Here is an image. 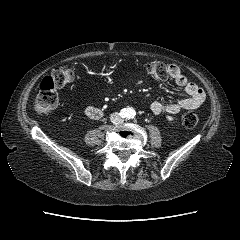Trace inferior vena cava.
Here are the masks:
<instances>
[{
  "label": "inferior vena cava",
  "instance_id": "obj_1",
  "mask_svg": "<svg viewBox=\"0 0 240 240\" xmlns=\"http://www.w3.org/2000/svg\"><path fill=\"white\" fill-rule=\"evenodd\" d=\"M111 121L115 124H119L123 122V118L119 116L117 112L111 114Z\"/></svg>",
  "mask_w": 240,
  "mask_h": 240
}]
</instances>
